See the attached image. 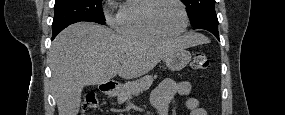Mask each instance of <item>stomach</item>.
<instances>
[{"label":"stomach","instance_id":"obj_1","mask_svg":"<svg viewBox=\"0 0 285 115\" xmlns=\"http://www.w3.org/2000/svg\"><path fill=\"white\" fill-rule=\"evenodd\" d=\"M191 60V53L185 49H179L174 53L166 56L164 62L167 68L171 71L182 70ZM119 94V89L108 91L109 96H116Z\"/></svg>","mask_w":285,"mask_h":115}]
</instances>
